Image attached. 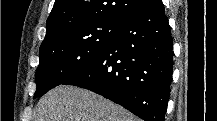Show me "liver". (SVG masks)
Returning <instances> with one entry per match:
<instances>
[{
	"label": "liver",
	"mask_w": 217,
	"mask_h": 121,
	"mask_svg": "<svg viewBox=\"0 0 217 121\" xmlns=\"http://www.w3.org/2000/svg\"><path fill=\"white\" fill-rule=\"evenodd\" d=\"M34 121H138V118L94 92L60 85L39 100Z\"/></svg>",
	"instance_id": "obj_1"
}]
</instances>
